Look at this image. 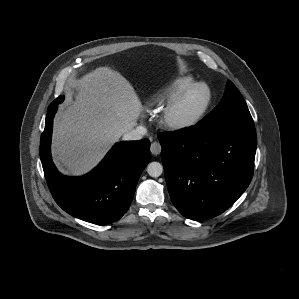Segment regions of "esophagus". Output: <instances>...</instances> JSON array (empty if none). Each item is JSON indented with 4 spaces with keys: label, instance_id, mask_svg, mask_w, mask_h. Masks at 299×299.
I'll use <instances>...</instances> for the list:
<instances>
[{
    "label": "esophagus",
    "instance_id": "esophagus-1",
    "mask_svg": "<svg viewBox=\"0 0 299 299\" xmlns=\"http://www.w3.org/2000/svg\"><path fill=\"white\" fill-rule=\"evenodd\" d=\"M161 145L159 142L155 141L151 144L150 151L153 155H159L161 152Z\"/></svg>",
    "mask_w": 299,
    "mask_h": 299
}]
</instances>
